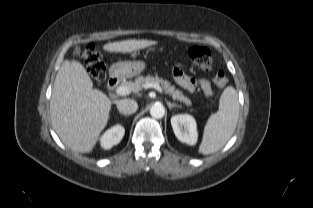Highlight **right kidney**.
<instances>
[{
	"instance_id": "ca27d5eb",
	"label": "right kidney",
	"mask_w": 313,
	"mask_h": 208,
	"mask_svg": "<svg viewBox=\"0 0 313 208\" xmlns=\"http://www.w3.org/2000/svg\"><path fill=\"white\" fill-rule=\"evenodd\" d=\"M125 129L121 125H115L108 129L101 137V147L104 149H110L114 145H117L123 138Z\"/></svg>"
}]
</instances>
